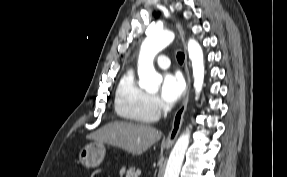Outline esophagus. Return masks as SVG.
<instances>
[{"label":"esophagus","mask_w":287,"mask_h":177,"mask_svg":"<svg viewBox=\"0 0 287 177\" xmlns=\"http://www.w3.org/2000/svg\"><path fill=\"white\" fill-rule=\"evenodd\" d=\"M176 26H177V29L179 32V36L182 39L184 52H185V56H186L185 64H186L187 86H186L185 98L183 100V103L174 115L172 129H171L169 135L166 137V139L163 140V144L166 146L172 145L174 143V141L176 140L179 132H180V129H181V126L183 123V117H184V114L186 112L188 101H189V94H190V87H191V77H190L188 67H187L188 60H187V54H186L184 32H183V29H182L180 24H176Z\"/></svg>","instance_id":"obj_1"}]
</instances>
